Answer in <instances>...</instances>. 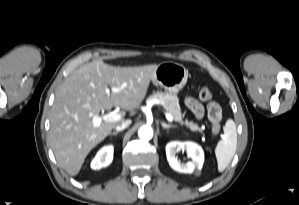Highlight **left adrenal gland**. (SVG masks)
Here are the masks:
<instances>
[{"mask_svg":"<svg viewBox=\"0 0 299 205\" xmlns=\"http://www.w3.org/2000/svg\"><path fill=\"white\" fill-rule=\"evenodd\" d=\"M161 125H162L163 129L176 128L175 125L166 124L165 122H161Z\"/></svg>","mask_w":299,"mask_h":205,"instance_id":"1","label":"left adrenal gland"}]
</instances>
